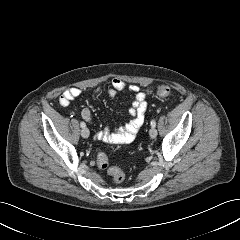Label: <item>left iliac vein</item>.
<instances>
[{"instance_id":"left-iliac-vein-1","label":"left iliac vein","mask_w":240,"mask_h":240,"mask_svg":"<svg viewBox=\"0 0 240 240\" xmlns=\"http://www.w3.org/2000/svg\"><path fill=\"white\" fill-rule=\"evenodd\" d=\"M149 135H150L151 138H156L157 130L154 127L150 128Z\"/></svg>"}]
</instances>
